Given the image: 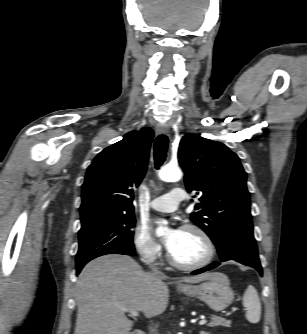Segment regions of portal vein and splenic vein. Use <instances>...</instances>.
I'll return each instance as SVG.
<instances>
[{
	"instance_id": "1",
	"label": "portal vein and splenic vein",
	"mask_w": 307,
	"mask_h": 334,
	"mask_svg": "<svg viewBox=\"0 0 307 334\" xmlns=\"http://www.w3.org/2000/svg\"><path fill=\"white\" fill-rule=\"evenodd\" d=\"M120 309H121L122 311H124V312H128V313H130V315H131L132 317H138V316H139L138 311L130 310V309H127V308H120ZM206 323H207V320H205V319L199 321V325H204V324H206Z\"/></svg>"
}]
</instances>
